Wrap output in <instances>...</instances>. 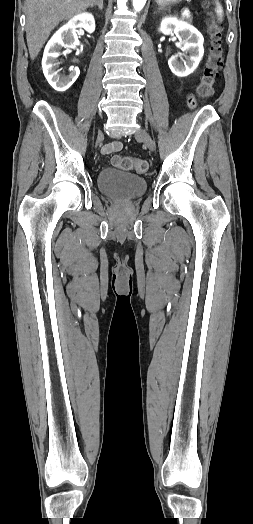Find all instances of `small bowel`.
I'll return each mask as SVG.
<instances>
[{"label":"small bowel","mask_w":253,"mask_h":524,"mask_svg":"<svg viewBox=\"0 0 253 524\" xmlns=\"http://www.w3.org/2000/svg\"><path fill=\"white\" fill-rule=\"evenodd\" d=\"M185 104L189 109H194L196 107V104L198 102L197 97L194 95V92L192 90H189L187 94L185 95L184 99ZM122 142L120 141H113L111 143L106 144L102 148V154L105 156L112 155L117 153L122 149Z\"/></svg>","instance_id":"small-bowel-1"}]
</instances>
